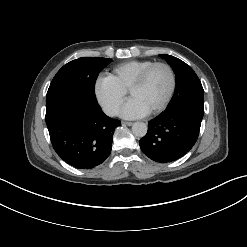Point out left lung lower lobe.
I'll return each instance as SVG.
<instances>
[{
  "mask_svg": "<svg viewBox=\"0 0 247 247\" xmlns=\"http://www.w3.org/2000/svg\"><path fill=\"white\" fill-rule=\"evenodd\" d=\"M203 114V95L176 101L149 122L147 134L139 141L142 152L160 163L181 158L196 143Z\"/></svg>",
  "mask_w": 247,
  "mask_h": 247,
  "instance_id": "left-lung-lower-lobe-1",
  "label": "left lung lower lobe"
}]
</instances>
